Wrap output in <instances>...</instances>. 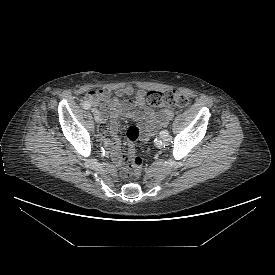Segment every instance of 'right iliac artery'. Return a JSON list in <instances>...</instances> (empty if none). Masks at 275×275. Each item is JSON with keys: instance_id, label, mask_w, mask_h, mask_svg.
Here are the masks:
<instances>
[{"instance_id": "1", "label": "right iliac artery", "mask_w": 275, "mask_h": 275, "mask_svg": "<svg viewBox=\"0 0 275 275\" xmlns=\"http://www.w3.org/2000/svg\"><path fill=\"white\" fill-rule=\"evenodd\" d=\"M83 108H84V109H90V108H91V104H90L89 102L85 101V102L83 103Z\"/></svg>"}]
</instances>
